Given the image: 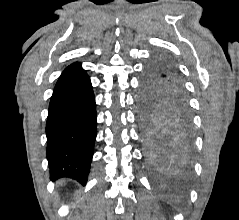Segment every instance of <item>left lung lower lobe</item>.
<instances>
[{"mask_svg": "<svg viewBox=\"0 0 239 220\" xmlns=\"http://www.w3.org/2000/svg\"><path fill=\"white\" fill-rule=\"evenodd\" d=\"M191 143L189 112H169L156 128L146 130L148 158L159 166L185 163Z\"/></svg>", "mask_w": 239, "mask_h": 220, "instance_id": "obj_1", "label": "left lung lower lobe"}]
</instances>
